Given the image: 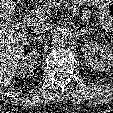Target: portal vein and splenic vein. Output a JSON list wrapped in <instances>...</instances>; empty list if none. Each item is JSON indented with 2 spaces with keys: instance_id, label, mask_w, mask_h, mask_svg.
<instances>
[{
  "instance_id": "1",
  "label": "portal vein and splenic vein",
  "mask_w": 113,
  "mask_h": 113,
  "mask_svg": "<svg viewBox=\"0 0 113 113\" xmlns=\"http://www.w3.org/2000/svg\"><path fill=\"white\" fill-rule=\"evenodd\" d=\"M55 7H57V6H55ZM39 21H40V17L36 16V17L32 18V24H38Z\"/></svg>"
}]
</instances>
